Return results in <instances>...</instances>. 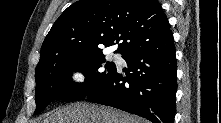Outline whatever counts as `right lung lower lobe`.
Instances as JSON below:
<instances>
[{
	"label": "right lung lower lobe",
	"instance_id": "1",
	"mask_svg": "<svg viewBox=\"0 0 221 123\" xmlns=\"http://www.w3.org/2000/svg\"><path fill=\"white\" fill-rule=\"evenodd\" d=\"M128 69H115L93 86L88 101L142 116L152 123H173L175 117L176 56L173 36L122 55Z\"/></svg>",
	"mask_w": 221,
	"mask_h": 123
}]
</instances>
